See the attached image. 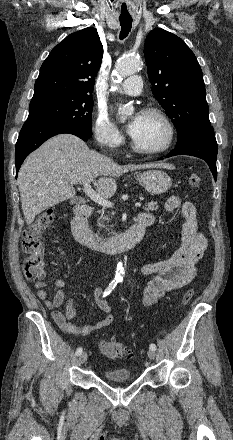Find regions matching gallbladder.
Segmentation results:
<instances>
[{"label": "gallbladder", "mask_w": 233, "mask_h": 440, "mask_svg": "<svg viewBox=\"0 0 233 440\" xmlns=\"http://www.w3.org/2000/svg\"><path fill=\"white\" fill-rule=\"evenodd\" d=\"M77 200L75 199V198H73V199H71V202L72 203H74V202H76Z\"/></svg>", "instance_id": "obj_1"}]
</instances>
